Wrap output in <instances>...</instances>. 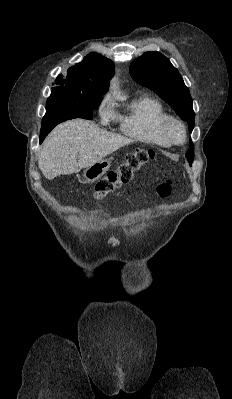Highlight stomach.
I'll list each match as a JSON object with an SVG mask.
<instances>
[{"instance_id": "0dacf381", "label": "stomach", "mask_w": 232, "mask_h": 399, "mask_svg": "<svg viewBox=\"0 0 232 399\" xmlns=\"http://www.w3.org/2000/svg\"><path fill=\"white\" fill-rule=\"evenodd\" d=\"M110 166L111 160H100V162H96V164H93V166H90V168L85 170L83 174L84 182H86V184H90V182H96V180H99L101 176H104V174L108 172Z\"/></svg>"}]
</instances>
